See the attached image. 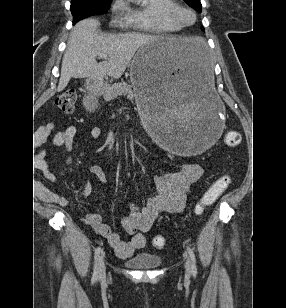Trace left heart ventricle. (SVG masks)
I'll return each mask as SVG.
<instances>
[{"instance_id": "obj_1", "label": "left heart ventricle", "mask_w": 286, "mask_h": 308, "mask_svg": "<svg viewBox=\"0 0 286 308\" xmlns=\"http://www.w3.org/2000/svg\"><path fill=\"white\" fill-rule=\"evenodd\" d=\"M183 18H184V20L185 21H187V22H191L192 21V16L189 14V13H184L183 14Z\"/></svg>"}]
</instances>
